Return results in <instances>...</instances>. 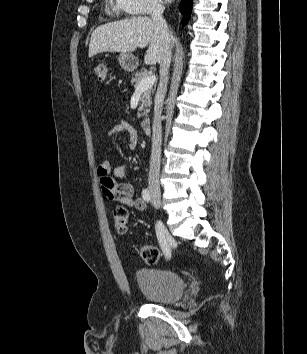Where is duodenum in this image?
<instances>
[{"label":"duodenum","instance_id":"obj_1","mask_svg":"<svg viewBox=\"0 0 307 354\" xmlns=\"http://www.w3.org/2000/svg\"><path fill=\"white\" fill-rule=\"evenodd\" d=\"M141 128L143 129V131L146 133V134H151L152 132V121L151 119L149 118H144L142 121H141Z\"/></svg>","mask_w":307,"mask_h":354}]
</instances>
